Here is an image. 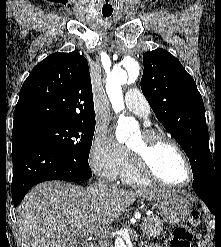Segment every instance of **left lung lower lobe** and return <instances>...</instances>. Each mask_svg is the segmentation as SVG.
<instances>
[{"label": "left lung lower lobe", "mask_w": 221, "mask_h": 247, "mask_svg": "<svg viewBox=\"0 0 221 247\" xmlns=\"http://www.w3.org/2000/svg\"><path fill=\"white\" fill-rule=\"evenodd\" d=\"M192 187L214 214L221 202V171L211 169L207 174L194 178Z\"/></svg>", "instance_id": "left-lung-lower-lobe-1"}]
</instances>
